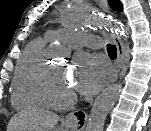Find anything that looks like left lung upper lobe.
Instances as JSON below:
<instances>
[{
    "instance_id": "obj_1",
    "label": "left lung upper lobe",
    "mask_w": 151,
    "mask_h": 131,
    "mask_svg": "<svg viewBox=\"0 0 151 131\" xmlns=\"http://www.w3.org/2000/svg\"><path fill=\"white\" fill-rule=\"evenodd\" d=\"M109 4L114 10H117V11L120 10L122 7L119 0H109Z\"/></svg>"
}]
</instances>
